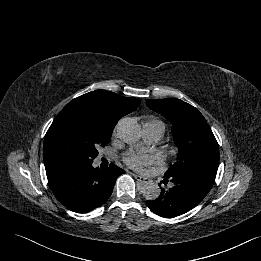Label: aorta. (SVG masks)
I'll list each match as a JSON object with an SVG mask.
<instances>
[{"mask_svg":"<svg viewBox=\"0 0 261 261\" xmlns=\"http://www.w3.org/2000/svg\"><path fill=\"white\" fill-rule=\"evenodd\" d=\"M117 133L122 141L133 145L141 138V126L132 118H124L118 124ZM160 193V187L151 181L142 188V194L146 200H155L160 196Z\"/></svg>","mask_w":261,"mask_h":261,"instance_id":"762f6f07","label":"aorta"}]
</instances>
